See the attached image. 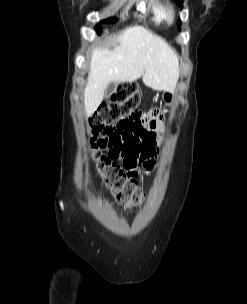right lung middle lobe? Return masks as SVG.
<instances>
[{
    "instance_id": "1",
    "label": "right lung middle lobe",
    "mask_w": 247,
    "mask_h": 304,
    "mask_svg": "<svg viewBox=\"0 0 247 304\" xmlns=\"http://www.w3.org/2000/svg\"><path fill=\"white\" fill-rule=\"evenodd\" d=\"M116 21V19H113V18H109V19H105V20H103V21H101V23H113V22H115ZM96 31L98 32V33H101V31H102V28H101V26L100 25H97L96 26Z\"/></svg>"
}]
</instances>
